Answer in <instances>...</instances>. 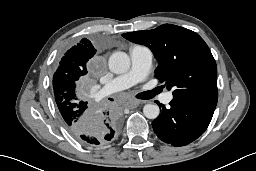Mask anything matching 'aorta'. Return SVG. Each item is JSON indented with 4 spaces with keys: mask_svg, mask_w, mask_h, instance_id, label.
Listing matches in <instances>:
<instances>
[{
    "mask_svg": "<svg viewBox=\"0 0 256 171\" xmlns=\"http://www.w3.org/2000/svg\"><path fill=\"white\" fill-rule=\"evenodd\" d=\"M109 69L121 74L129 70L131 62L129 56L125 52H115L109 58ZM144 116L148 119H156L160 113L159 106L156 104H146L143 107Z\"/></svg>",
    "mask_w": 256,
    "mask_h": 171,
    "instance_id": "762f6f07",
    "label": "aorta"
}]
</instances>
